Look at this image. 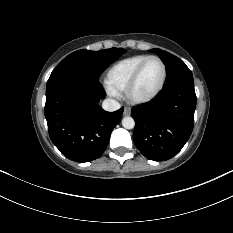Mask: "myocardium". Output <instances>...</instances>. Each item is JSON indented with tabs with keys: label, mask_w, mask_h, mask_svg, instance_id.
Masks as SVG:
<instances>
[{
	"label": "myocardium",
	"mask_w": 233,
	"mask_h": 233,
	"mask_svg": "<svg viewBox=\"0 0 233 233\" xmlns=\"http://www.w3.org/2000/svg\"><path fill=\"white\" fill-rule=\"evenodd\" d=\"M153 59L158 60L161 63V65H162L163 75H162L161 82H160L158 88L153 93H151L150 95H147V96H144V97L135 96L134 95V89H135V86H136V84H137L140 76H141V73H142L145 65L150 60H153ZM167 74H168L167 66H166V63L164 62V60L162 58H160L159 56H156V55H150V56H148L146 59H144L140 63V65L137 67V69L135 70L134 74L132 75L130 81L128 82L127 87H126V89L124 91L125 92L126 100L129 103L134 104V105L145 104V103H148V102L152 101L163 90V88L165 86V83H166V80H167Z\"/></svg>",
	"instance_id": "1"
}]
</instances>
